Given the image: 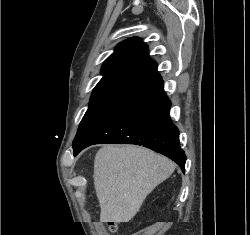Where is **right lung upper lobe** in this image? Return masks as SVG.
Listing matches in <instances>:
<instances>
[{
  "instance_id": "right-lung-upper-lobe-1",
  "label": "right lung upper lobe",
  "mask_w": 250,
  "mask_h": 235,
  "mask_svg": "<svg viewBox=\"0 0 250 235\" xmlns=\"http://www.w3.org/2000/svg\"><path fill=\"white\" fill-rule=\"evenodd\" d=\"M101 72L103 77L91 97H131L160 77L157 63L149 57L148 46L137 37L119 43Z\"/></svg>"
}]
</instances>
